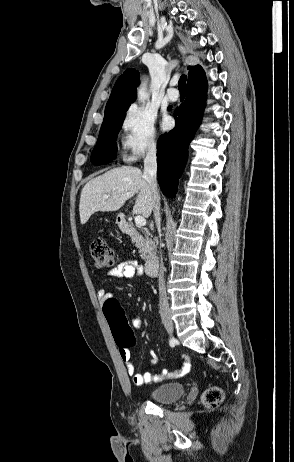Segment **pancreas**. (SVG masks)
<instances>
[{"instance_id": "obj_1", "label": "pancreas", "mask_w": 294, "mask_h": 462, "mask_svg": "<svg viewBox=\"0 0 294 462\" xmlns=\"http://www.w3.org/2000/svg\"><path fill=\"white\" fill-rule=\"evenodd\" d=\"M144 237L135 233L132 236V241L135 243L136 247L139 249L140 257L143 260H147L151 257V248H152V240L149 237L148 232H143Z\"/></svg>"}]
</instances>
